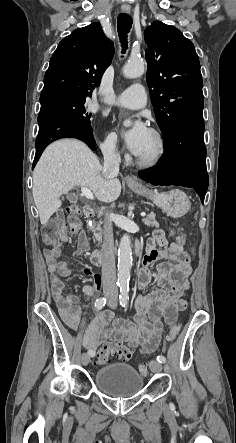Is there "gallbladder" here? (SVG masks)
I'll list each match as a JSON object with an SVG mask.
<instances>
[{"instance_id": "1", "label": "gallbladder", "mask_w": 236, "mask_h": 443, "mask_svg": "<svg viewBox=\"0 0 236 443\" xmlns=\"http://www.w3.org/2000/svg\"><path fill=\"white\" fill-rule=\"evenodd\" d=\"M66 199L69 201V202H76L77 200H78V197L74 194V193H68L67 195H66Z\"/></svg>"}]
</instances>
